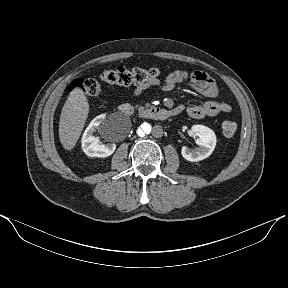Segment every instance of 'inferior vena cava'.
I'll use <instances>...</instances> for the list:
<instances>
[{
	"label": "inferior vena cava",
	"instance_id": "inferior-vena-cava-1",
	"mask_svg": "<svg viewBox=\"0 0 288 288\" xmlns=\"http://www.w3.org/2000/svg\"><path fill=\"white\" fill-rule=\"evenodd\" d=\"M152 135L155 138H160L163 135V128L160 125H155L152 128Z\"/></svg>",
	"mask_w": 288,
	"mask_h": 288
}]
</instances>
